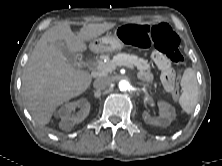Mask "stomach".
Wrapping results in <instances>:
<instances>
[{
	"label": "stomach",
	"mask_w": 222,
	"mask_h": 166,
	"mask_svg": "<svg viewBox=\"0 0 222 166\" xmlns=\"http://www.w3.org/2000/svg\"><path fill=\"white\" fill-rule=\"evenodd\" d=\"M124 47L123 41L117 35H106L94 39L90 43V48L94 52H113Z\"/></svg>",
	"instance_id": "1"
}]
</instances>
